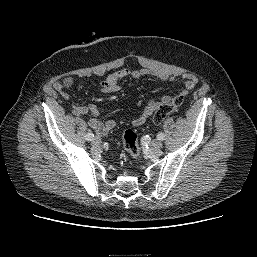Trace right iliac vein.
<instances>
[{
    "label": "right iliac vein",
    "instance_id": "1",
    "mask_svg": "<svg viewBox=\"0 0 257 257\" xmlns=\"http://www.w3.org/2000/svg\"><path fill=\"white\" fill-rule=\"evenodd\" d=\"M92 144L94 146H99L101 144V139L100 138H94L92 141Z\"/></svg>",
    "mask_w": 257,
    "mask_h": 257
}]
</instances>
